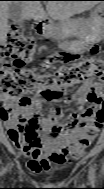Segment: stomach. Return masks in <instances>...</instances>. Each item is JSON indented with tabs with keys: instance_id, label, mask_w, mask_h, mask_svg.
<instances>
[{
	"instance_id": "stomach-1",
	"label": "stomach",
	"mask_w": 104,
	"mask_h": 189,
	"mask_svg": "<svg viewBox=\"0 0 104 189\" xmlns=\"http://www.w3.org/2000/svg\"><path fill=\"white\" fill-rule=\"evenodd\" d=\"M103 4H98L88 19L68 21L54 27L46 28L43 34L46 37L63 41L62 46L68 50H78L87 38L92 37L103 27L102 17ZM70 37H77L74 40H67Z\"/></svg>"
}]
</instances>
